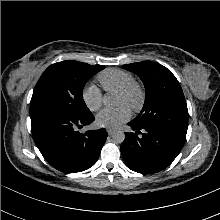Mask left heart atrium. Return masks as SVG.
Returning a JSON list of instances; mask_svg holds the SVG:
<instances>
[{
  "mask_svg": "<svg viewBox=\"0 0 220 220\" xmlns=\"http://www.w3.org/2000/svg\"><path fill=\"white\" fill-rule=\"evenodd\" d=\"M131 116L130 109L123 104L113 109H103L96 115V124L105 128H117Z\"/></svg>",
  "mask_w": 220,
  "mask_h": 220,
  "instance_id": "left-heart-atrium-1",
  "label": "left heart atrium"
}]
</instances>
